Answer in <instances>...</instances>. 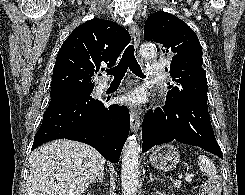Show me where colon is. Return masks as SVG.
Instances as JSON below:
<instances>
[{
  "label": "colon",
  "instance_id": "colon-1",
  "mask_svg": "<svg viewBox=\"0 0 245 195\" xmlns=\"http://www.w3.org/2000/svg\"><path fill=\"white\" fill-rule=\"evenodd\" d=\"M218 192L219 181L216 178H208L201 185V195H218Z\"/></svg>",
  "mask_w": 245,
  "mask_h": 195
}]
</instances>
